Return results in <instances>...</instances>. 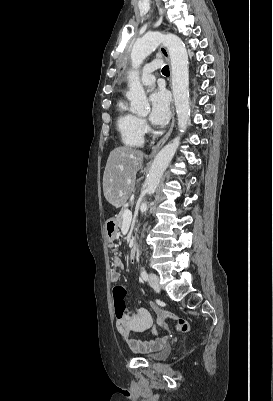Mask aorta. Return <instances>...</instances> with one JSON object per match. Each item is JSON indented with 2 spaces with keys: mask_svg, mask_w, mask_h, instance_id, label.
<instances>
[{
  "mask_svg": "<svg viewBox=\"0 0 273 401\" xmlns=\"http://www.w3.org/2000/svg\"><path fill=\"white\" fill-rule=\"evenodd\" d=\"M163 44L170 56L172 69V90L177 113L178 129L182 135L190 123V104H189V68L188 54L182 40L174 34H162L153 32L145 34L138 40L131 52L132 66L135 69L130 72L129 91L127 98L131 104V111L146 115L150 109L143 87L139 81L137 69L155 49ZM180 135L175 137L172 142L165 145L154 158L149 173L147 175L146 192L149 196L153 195L168 167L180 143Z\"/></svg>",
  "mask_w": 273,
  "mask_h": 401,
  "instance_id": "1",
  "label": "aorta"
}]
</instances>
